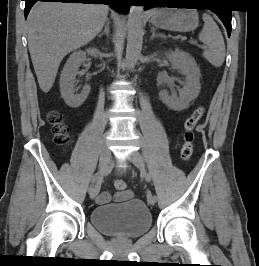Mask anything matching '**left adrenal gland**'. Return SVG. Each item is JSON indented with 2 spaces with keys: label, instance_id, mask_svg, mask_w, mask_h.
<instances>
[{
  "label": "left adrenal gland",
  "instance_id": "1",
  "mask_svg": "<svg viewBox=\"0 0 259 266\" xmlns=\"http://www.w3.org/2000/svg\"><path fill=\"white\" fill-rule=\"evenodd\" d=\"M151 33H152V35L150 37L151 40H153L156 37L165 38V35L164 34H161V33L157 34L156 33V29L154 27H151Z\"/></svg>",
  "mask_w": 259,
  "mask_h": 266
}]
</instances>
